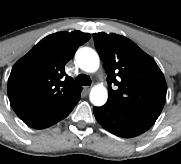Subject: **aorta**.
I'll list each match as a JSON object with an SVG mask.
<instances>
[{
  "instance_id": "762f6f07",
  "label": "aorta",
  "mask_w": 181,
  "mask_h": 164,
  "mask_svg": "<svg viewBox=\"0 0 181 164\" xmlns=\"http://www.w3.org/2000/svg\"><path fill=\"white\" fill-rule=\"evenodd\" d=\"M76 62L80 69L88 73L96 72L100 65L98 54L89 47H82L77 51ZM89 98L94 106L104 105L108 99L106 87L103 84L93 86Z\"/></svg>"
}]
</instances>
